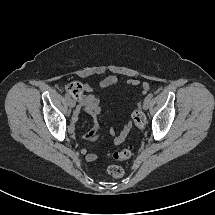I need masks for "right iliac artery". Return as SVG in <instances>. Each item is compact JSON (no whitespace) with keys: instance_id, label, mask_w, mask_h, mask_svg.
<instances>
[{"instance_id":"right-iliac-artery-1","label":"right iliac artery","mask_w":215,"mask_h":215,"mask_svg":"<svg viewBox=\"0 0 215 215\" xmlns=\"http://www.w3.org/2000/svg\"><path fill=\"white\" fill-rule=\"evenodd\" d=\"M65 98H66V99H70V96L66 93V94H65Z\"/></svg>"}]
</instances>
